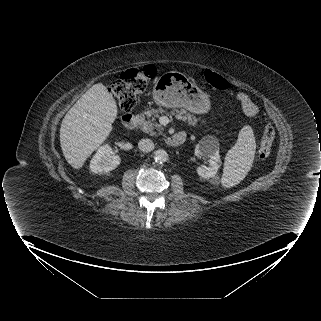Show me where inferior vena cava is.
I'll return each instance as SVG.
<instances>
[{"label":"inferior vena cava","mask_w":321,"mask_h":321,"mask_svg":"<svg viewBox=\"0 0 321 321\" xmlns=\"http://www.w3.org/2000/svg\"><path fill=\"white\" fill-rule=\"evenodd\" d=\"M138 147L143 152H150L154 149V143L150 139H141L138 143Z\"/></svg>","instance_id":"602c4592"}]
</instances>
